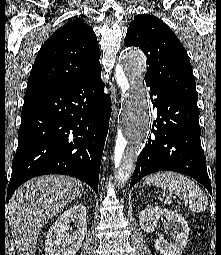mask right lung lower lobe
<instances>
[{
  "mask_svg": "<svg viewBox=\"0 0 221 255\" xmlns=\"http://www.w3.org/2000/svg\"><path fill=\"white\" fill-rule=\"evenodd\" d=\"M101 69L58 87L26 94L7 201L32 177L64 174L98 192L111 98Z\"/></svg>",
  "mask_w": 221,
  "mask_h": 255,
  "instance_id": "obj_1",
  "label": "right lung lower lobe"
}]
</instances>
